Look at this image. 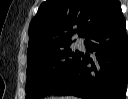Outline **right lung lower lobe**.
Wrapping results in <instances>:
<instances>
[{
	"label": "right lung lower lobe",
	"mask_w": 128,
	"mask_h": 99,
	"mask_svg": "<svg viewBox=\"0 0 128 99\" xmlns=\"http://www.w3.org/2000/svg\"><path fill=\"white\" fill-rule=\"evenodd\" d=\"M91 59L81 53L71 75L54 91L85 99H125L128 79V37L121 6L86 36ZM91 65V66H89Z\"/></svg>",
	"instance_id": "obj_1"
}]
</instances>
